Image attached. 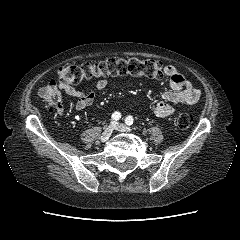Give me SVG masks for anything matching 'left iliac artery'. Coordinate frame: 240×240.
I'll use <instances>...</instances> for the list:
<instances>
[{
    "instance_id": "1",
    "label": "left iliac artery",
    "mask_w": 240,
    "mask_h": 240,
    "mask_svg": "<svg viewBox=\"0 0 240 240\" xmlns=\"http://www.w3.org/2000/svg\"><path fill=\"white\" fill-rule=\"evenodd\" d=\"M133 121H134V119H133V117L130 116V115L125 118V123H126L128 126L132 125V124H133Z\"/></svg>"
}]
</instances>
